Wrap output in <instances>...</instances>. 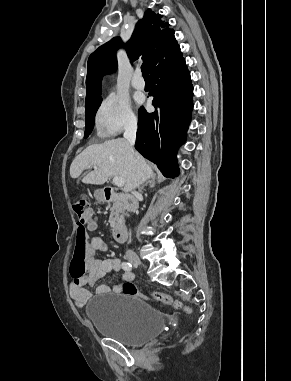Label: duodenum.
Here are the masks:
<instances>
[{"instance_id": "410a0bca", "label": "duodenum", "mask_w": 291, "mask_h": 381, "mask_svg": "<svg viewBox=\"0 0 291 381\" xmlns=\"http://www.w3.org/2000/svg\"><path fill=\"white\" fill-rule=\"evenodd\" d=\"M104 201L107 203L118 202L127 209H135L137 206L136 200L128 195H123L110 187H105L102 190ZM114 240L118 243H124L127 239V226L123 223H117L113 229Z\"/></svg>"}]
</instances>
